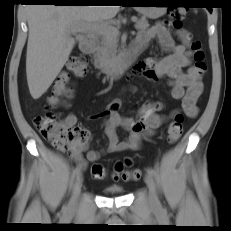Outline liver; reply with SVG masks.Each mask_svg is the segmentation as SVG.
Listing matches in <instances>:
<instances>
[{
	"label": "liver",
	"mask_w": 231,
	"mask_h": 231,
	"mask_svg": "<svg viewBox=\"0 0 231 231\" xmlns=\"http://www.w3.org/2000/svg\"><path fill=\"white\" fill-rule=\"evenodd\" d=\"M118 11L119 6L26 7L29 27L26 74L33 99H39L48 90L67 62L76 43L70 30L110 20Z\"/></svg>",
	"instance_id": "6515ba94"
}]
</instances>
